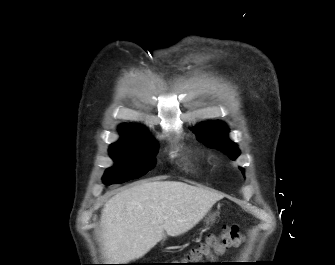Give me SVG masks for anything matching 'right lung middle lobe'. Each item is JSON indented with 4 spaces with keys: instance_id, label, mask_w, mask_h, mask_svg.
I'll return each mask as SVG.
<instances>
[{
    "instance_id": "dd1d6c3e",
    "label": "right lung middle lobe",
    "mask_w": 335,
    "mask_h": 265,
    "mask_svg": "<svg viewBox=\"0 0 335 265\" xmlns=\"http://www.w3.org/2000/svg\"><path fill=\"white\" fill-rule=\"evenodd\" d=\"M122 139L111 145L109 153L115 166L103 176L105 184L123 183L146 174L155 165L157 145L146 131H121Z\"/></svg>"
}]
</instances>
